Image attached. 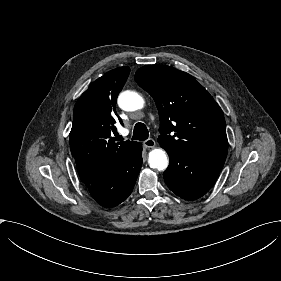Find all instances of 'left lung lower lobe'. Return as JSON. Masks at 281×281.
<instances>
[{"label": "left lung lower lobe", "instance_id": "left-lung-lower-lobe-1", "mask_svg": "<svg viewBox=\"0 0 281 281\" xmlns=\"http://www.w3.org/2000/svg\"><path fill=\"white\" fill-rule=\"evenodd\" d=\"M162 147V146H161ZM170 163L164 172V180L171 191L185 200L203 196L215 183L225 159L191 157L163 146Z\"/></svg>", "mask_w": 281, "mask_h": 281}]
</instances>
